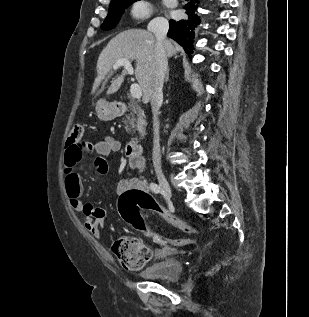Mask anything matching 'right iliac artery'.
<instances>
[{"mask_svg":"<svg viewBox=\"0 0 309 317\" xmlns=\"http://www.w3.org/2000/svg\"><path fill=\"white\" fill-rule=\"evenodd\" d=\"M150 189L152 190V192H154L156 194L161 192V188L156 183H151Z\"/></svg>","mask_w":309,"mask_h":317,"instance_id":"1","label":"right iliac artery"}]
</instances>
